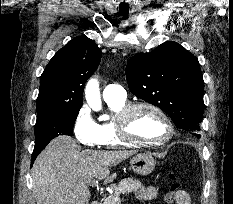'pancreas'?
I'll use <instances>...</instances> for the list:
<instances>
[{
  "label": "pancreas",
  "instance_id": "obj_1",
  "mask_svg": "<svg viewBox=\"0 0 233 204\" xmlns=\"http://www.w3.org/2000/svg\"><path fill=\"white\" fill-rule=\"evenodd\" d=\"M111 188L114 193L105 197L102 204H121V194L137 192L140 188H142V184L139 180L125 178L121 180L118 185L113 184Z\"/></svg>",
  "mask_w": 233,
  "mask_h": 204
}]
</instances>
